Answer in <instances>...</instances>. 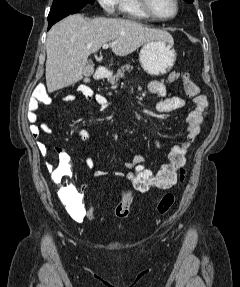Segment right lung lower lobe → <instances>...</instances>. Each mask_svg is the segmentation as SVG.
<instances>
[{"mask_svg": "<svg viewBox=\"0 0 240 287\" xmlns=\"http://www.w3.org/2000/svg\"><path fill=\"white\" fill-rule=\"evenodd\" d=\"M79 11H76L74 13H77ZM74 13H70V14H74ZM69 14H65V15H61V16H57V17H54L53 19H51L50 21H48V29L53 25L55 24L57 21L61 20L62 18L68 16Z\"/></svg>", "mask_w": 240, "mask_h": 287, "instance_id": "obj_1", "label": "right lung lower lobe"}]
</instances>
